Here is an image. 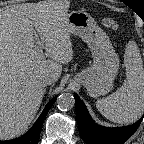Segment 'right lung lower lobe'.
I'll list each match as a JSON object with an SVG mask.
<instances>
[{"label": "right lung lower lobe", "mask_w": 144, "mask_h": 144, "mask_svg": "<svg viewBox=\"0 0 144 144\" xmlns=\"http://www.w3.org/2000/svg\"><path fill=\"white\" fill-rule=\"evenodd\" d=\"M55 98H53L45 107L43 110L42 114L36 121V123L33 125V127L23 136L13 139V140H8V141H0V144H37L39 140V135H40V130L41 126L43 124V121L46 117L47 112L49 111L50 107L54 103Z\"/></svg>", "instance_id": "right-lung-lower-lobe-1"}]
</instances>
